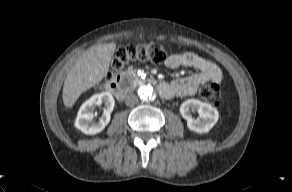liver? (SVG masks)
Returning <instances> with one entry per match:
<instances>
[{"mask_svg":"<svg viewBox=\"0 0 292 192\" xmlns=\"http://www.w3.org/2000/svg\"><path fill=\"white\" fill-rule=\"evenodd\" d=\"M115 43L100 44L87 49L69 71L63 85V103L72 107L80 95L98 84L107 74Z\"/></svg>","mask_w":292,"mask_h":192,"instance_id":"liver-1","label":"liver"}]
</instances>
